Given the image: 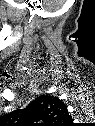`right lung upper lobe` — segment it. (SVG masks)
<instances>
[{"label":"right lung upper lobe","instance_id":"1","mask_svg":"<svg viewBox=\"0 0 95 126\" xmlns=\"http://www.w3.org/2000/svg\"><path fill=\"white\" fill-rule=\"evenodd\" d=\"M8 119L11 122H17L15 124L45 126H69L72 121L67 106L58 97L51 95L37 97L26 108L8 114ZM36 121L44 123H34Z\"/></svg>","mask_w":95,"mask_h":126}]
</instances>
